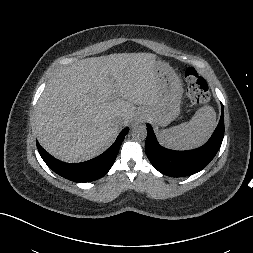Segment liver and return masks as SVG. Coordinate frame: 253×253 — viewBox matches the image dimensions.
Here are the masks:
<instances>
[{
    "label": "liver",
    "mask_w": 253,
    "mask_h": 253,
    "mask_svg": "<svg viewBox=\"0 0 253 253\" xmlns=\"http://www.w3.org/2000/svg\"><path fill=\"white\" fill-rule=\"evenodd\" d=\"M156 62L150 53H118L56 71L34 111L40 145L71 163L101 154L134 116L136 105L157 103Z\"/></svg>",
    "instance_id": "obj_1"
}]
</instances>
